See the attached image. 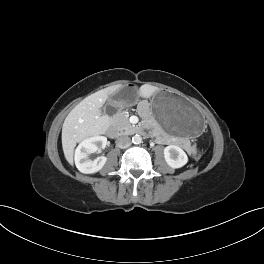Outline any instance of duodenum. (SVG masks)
Instances as JSON below:
<instances>
[{
  "label": "duodenum",
  "mask_w": 264,
  "mask_h": 264,
  "mask_svg": "<svg viewBox=\"0 0 264 264\" xmlns=\"http://www.w3.org/2000/svg\"><path fill=\"white\" fill-rule=\"evenodd\" d=\"M134 132H135V133H140V132H141V129L136 128V129H134ZM106 133H107V135L110 136V137H116V136L119 135L118 130H117L115 127H113V126H109V127L107 128V130H106Z\"/></svg>",
  "instance_id": "1"
}]
</instances>
